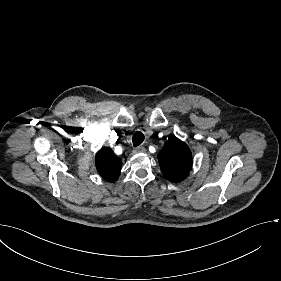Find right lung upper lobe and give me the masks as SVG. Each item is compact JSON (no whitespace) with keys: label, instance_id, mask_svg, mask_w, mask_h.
I'll return each instance as SVG.
<instances>
[{"label":"right lung upper lobe","instance_id":"cb5924a9","mask_svg":"<svg viewBox=\"0 0 281 281\" xmlns=\"http://www.w3.org/2000/svg\"><path fill=\"white\" fill-rule=\"evenodd\" d=\"M95 162L99 174L106 181L114 182L118 179L122 168V161L110 148L103 147L98 151Z\"/></svg>","mask_w":281,"mask_h":281}]
</instances>
